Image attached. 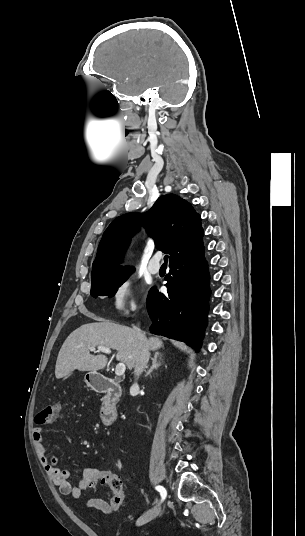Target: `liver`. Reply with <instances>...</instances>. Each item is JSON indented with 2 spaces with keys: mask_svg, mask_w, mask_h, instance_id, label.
<instances>
[{
  "mask_svg": "<svg viewBox=\"0 0 305 536\" xmlns=\"http://www.w3.org/2000/svg\"><path fill=\"white\" fill-rule=\"evenodd\" d=\"M95 324H84L74 330L67 340H65L57 358L55 366V376L57 380L69 376L74 370L79 372H97L107 366L106 356H92L89 348L105 346L117 350L118 362L126 364L129 370L135 368L136 360L140 354L143 344L136 330L111 324L103 318H95ZM149 350H159L162 348L159 336L149 338L146 342Z\"/></svg>",
  "mask_w": 305,
  "mask_h": 536,
  "instance_id": "liver-1",
  "label": "liver"
}]
</instances>
